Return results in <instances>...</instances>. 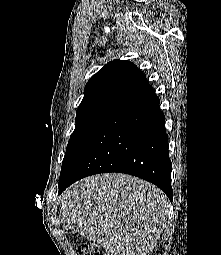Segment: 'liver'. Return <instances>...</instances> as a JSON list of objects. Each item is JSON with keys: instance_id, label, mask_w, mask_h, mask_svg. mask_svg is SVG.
Masks as SVG:
<instances>
[{"instance_id": "liver-1", "label": "liver", "mask_w": 221, "mask_h": 255, "mask_svg": "<svg viewBox=\"0 0 221 255\" xmlns=\"http://www.w3.org/2000/svg\"><path fill=\"white\" fill-rule=\"evenodd\" d=\"M63 228L97 242L107 255H148L166 226L169 202L155 185L105 173L87 177L60 196Z\"/></svg>"}]
</instances>
